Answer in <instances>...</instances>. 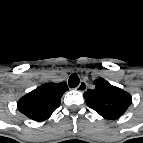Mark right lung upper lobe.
<instances>
[{
	"mask_svg": "<svg viewBox=\"0 0 143 143\" xmlns=\"http://www.w3.org/2000/svg\"><path fill=\"white\" fill-rule=\"evenodd\" d=\"M67 90L64 82L43 84L18 101V110L30 119L44 121L60 106Z\"/></svg>",
	"mask_w": 143,
	"mask_h": 143,
	"instance_id": "cb5924a9",
	"label": "right lung upper lobe"
}]
</instances>
